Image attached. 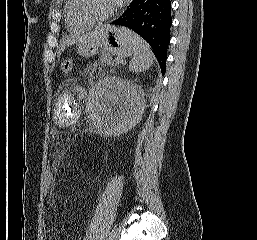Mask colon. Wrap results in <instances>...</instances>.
I'll use <instances>...</instances> for the list:
<instances>
[{"instance_id": "1", "label": "colon", "mask_w": 257, "mask_h": 240, "mask_svg": "<svg viewBox=\"0 0 257 240\" xmlns=\"http://www.w3.org/2000/svg\"><path fill=\"white\" fill-rule=\"evenodd\" d=\"M75 61L73 58L69 57L66 58L63 61L62 64V71L65 75H70L73 71ZM52 183H53V167L48 164L45 173H44V187L45 191L49 194L52 188Z\"/></svg>"}]
</instances>
